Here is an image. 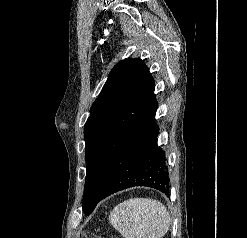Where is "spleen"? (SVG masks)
Masks as SVG:
<instances>
[{"label":"spleen","instance_id":"3e777b00","mask_svg":"<svg viewBox=\"0 0 247 238\" xmlns=\"http://www.w3.org/2000/svg\"><path fill=\"white\" fill-rule=\"evenodd\" d=\"M109 221L124 238H162L170 226L166 207L150 198H131L119 203Z\"/></svg>","mask_w":247,"mask_h":238}]
</instances>
